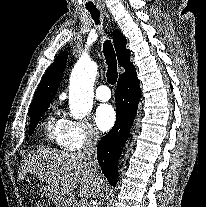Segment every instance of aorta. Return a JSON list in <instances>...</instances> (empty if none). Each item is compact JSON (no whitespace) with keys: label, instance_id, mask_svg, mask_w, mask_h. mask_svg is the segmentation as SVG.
Masks as SVG:
<instances>
[{"label":"aorta","instance_id":"1","mask_svg":"<svg viewBox=\"0 0 206 207\" xmlns=\"http://www.w3.org/2000/svg\"><path fill=\"white\" fill-rule=\"evenodd\" d=\"M96 74V63L85 57L78 60L71 73L69 107L75 119H82L92 110Z\"/></svg>","mask_w":206,"mask_h":207}]
</instances>
